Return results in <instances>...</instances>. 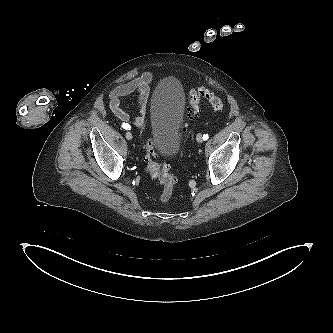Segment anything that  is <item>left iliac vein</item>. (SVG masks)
Segmentation results:
<instances>
[{"label": "left iliac vein", "mask_w": 333, "mask_h": 333, "mask_svg": "<svg viewBox=\"0 0 333 333\" xmlns=\"http://www.w3.org/2000/svg\"><path fill=\"white\" fill-rule=\"evenodd\" d=\"M196 140H197V142H199V143H202L203 142V137H202V135L199 133V134H197V136H196Z\"/></svg>", "instance_id": "left-iliac-vein-1"}]
</instances>
